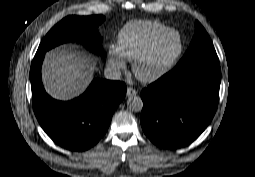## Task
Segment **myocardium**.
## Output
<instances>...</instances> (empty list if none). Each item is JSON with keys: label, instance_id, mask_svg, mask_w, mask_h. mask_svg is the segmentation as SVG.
Here are the masks:
<instances>
[{"label": "myocardium", "instance_id": "1", "mask_svg": "<svg viewBox=\"0 0 255 177\" xmlns=\"http://www.w3.org/2000/svg\"><path fill=\"white\" fill-rule=\"evenodd\" d=\"M176 34L178 37V46L177 49L170 55V57L166 60V62L162 65V67L157 70L154 74L149 76H142L138 72V67L140 63L148 57V55L153 51L158 42L164 38L168 34ZM183 49V40L178 31L173 28H167L162 32L155 35L149 43L140 51V53L136 56L132 64L133 74L144 83H153L162 78L173 65L175 60L179 57Z\"/></svg>", "mask_w": 255, "mask_h": 177}]
</instances>
